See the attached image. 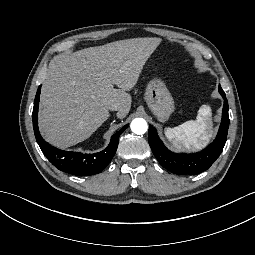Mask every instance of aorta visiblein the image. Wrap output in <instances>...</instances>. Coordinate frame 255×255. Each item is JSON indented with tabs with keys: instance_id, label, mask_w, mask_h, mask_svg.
I'll return each mask as SVG.
<instances>
[{
	"instance_id": "762f6f07",
	"label": "aorta",
	"mask_w": 255,
	"mask_h": 255,
	"mask_svg": "<svg viewBox=\"0 0 255 255\" xmlns=\"http://www.w3.org/2000/svg\"><path fill=\"white\" fill-rule=\"evenodd\" d=\"M131 130L133 133L142 135L146 133L148 129V125L145 119L143 118H136L131 122Z\"/></svg>"
}]
</instances>
